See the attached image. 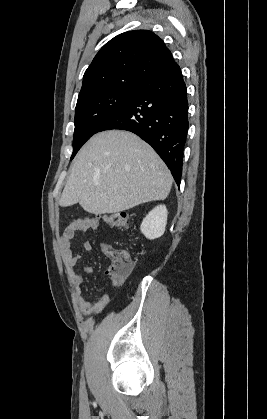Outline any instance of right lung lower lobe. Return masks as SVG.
I'll use <instances>...</instances> for the list:
<instances>
[{
	"mask_svg": "<svg viewBox=\"0 0 267 419\" xmlns=\"http://www.w3.org/2000/svg\"><path fill=\"white\" fill-rule=\"evenodd\" d=\"M188 127L187 88L174 62L142 83L100 131L121 129L141 137L163 159L180 186Z\"/></svg>",
	"mask_w": 267,
	"mask_h": 419,
	"instance_id": "98d812e1",
	"label": "right lung lower lobe"
}]
</instances>
